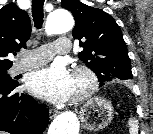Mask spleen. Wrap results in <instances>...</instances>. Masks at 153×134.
I'll use <instances>...</instances> for the list:
<instances>
[{"mask_svg":"<svg viewBox=\"0 0 153 134\" xmlns=\"http://www.w3.org/2000/svg\"><path fill=\"white\" fill-rule=\"evenodd\" d=\"M128 125L130 134H138V123L136 119L131 118L128 122Z\"/></svg>","mask_w":153,"mask_h":134,"instance_id":"3e777b00","label":"spleen"}]
</instances>
